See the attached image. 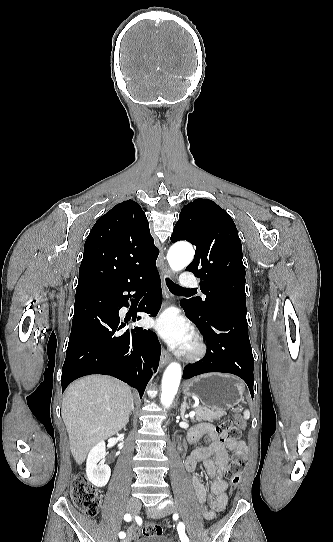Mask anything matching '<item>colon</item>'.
I'll return each instance as SVG.
<instances>
[{
	"mask_svg": "<svg viewBox=\"0 0 333 542\" xmlns=\"http://www.w3.org/2000/svg\"><path fill=\"white\" fill-rule=\"evenodd\" d=\"M245 425L239 418L234 420H225L219 422L216 427V435L218 439L225 442H236L240 440ZM209 441L214 439L213 435L206 437ZM232 458L235 460L232 470L229 474V483L231 488L236 487L241 478L242 470L245 468L247 459L241 449L232 451ZM228 496V493H225ZM72 499L77 508L84 511L88 516H95L98 513L100 506V494L98 489L92 485L85 477L77 476L72 480ZM143 534L146 537H156L162 534V526L159 523L150 522L145 524Z\"/></svg>",
	"mask_w": 333,
	"mask_h": 542,
	"instance_id": "1",
	"label": "colon"
}]
</instances>
